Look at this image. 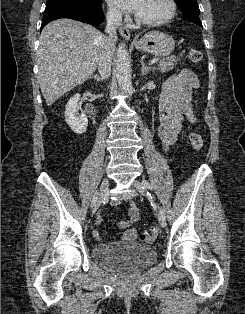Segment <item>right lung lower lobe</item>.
I'll use <instances>...</instances> for the list:
<instances>
[{
    "label": "right lung lower lobe",
    "mask_w": 245,
    "mask_h": 314,
    "mask_svg": "<svg viewBox=\"0 0 245 314\" xmlns=\"http://www.w3.org/2000/svg\"><path fill=\"white\" fill-rule=\"evenodd\" d=\"M101 6L102 4L91 6L73 2H55L46 4L41 29L49 22L60 18H70L98 25L104 20Z\"/></svg>",
    "instance_id": "98d812e1"
}]
</instances>
